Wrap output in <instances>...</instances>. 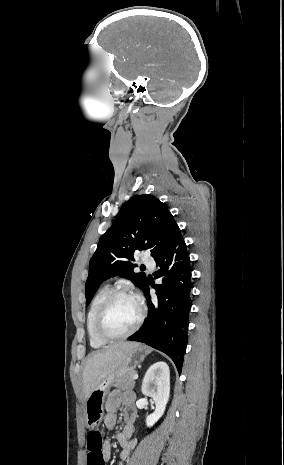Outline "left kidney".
Here are the masks:
<instances>
[{"label":"left kidney","instance_id":"obj_1","mask_svg":"<svg viewBox=\"0 0 284 465\" xmlns=\"http://www.w3.org/2000/svg\"><path fill=\"white\" fill-rule=\"evenodd\" d=\"M143 395L153 399L156 409L146 419L147 427H153L164 415L170 395V371L167 363L158 361L148 369L142 383Z\"/></svg>","mask_w":284,"mask_h":465}]
</instances>
